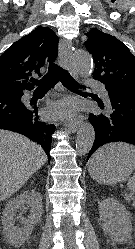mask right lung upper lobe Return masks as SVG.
<instances>
[{"mask_svg":"<svg viewBox=\"0 0 135 249\" xmlns=\"http://www.w3.org/2000/svg\"><path fill=\"white\" fill-rule=\"evenodd\" d=\"M58 37L39 26L14 42L0 56V92L20 93L34 88L30 77L39 74L46 58L57 57Z\"/></svg>","mask_w":135,"mask_h":249,"instance_id":"right-lung-upper-lobe-1","label":"right lung upper lobe"}]
</instances>
